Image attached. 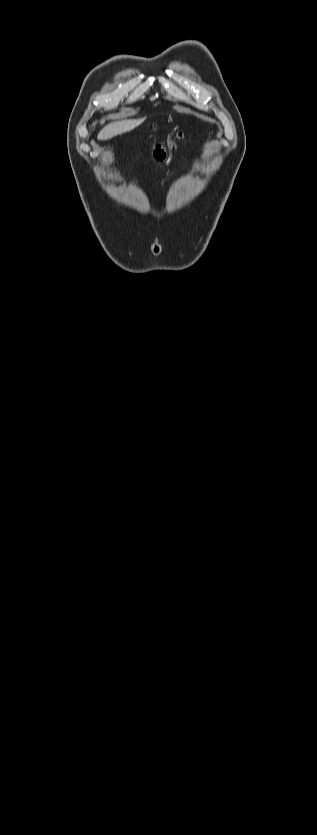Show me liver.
<instances>
[{
    "label": "liver",
    "mask_w": 317,
    "mask_h": 835,
    "mask_svg": "<svg viewBox=\"0 0 317 835\" xmlns=\"http://www.w3.org/2000/svg\"><path fill=\"white\" fill-rule=\"evenodd\" d=\"M145 121V117L139 119H127L112 122L106 125L98 134V140H108L119 134L128 132L138 127Z\"/></svg>",
    "instance_id": "1"
}]
</instances>
